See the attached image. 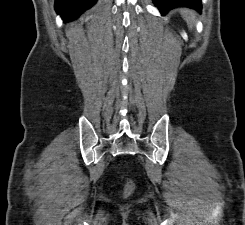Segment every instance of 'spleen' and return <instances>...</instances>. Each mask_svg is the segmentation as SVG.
Masks as SVG:
<instances>
[{"instance_id":"1","label":"spleen","mask_w":245,"mask_h":225,"mask_svg":"<svg viewBox=\"0 0 245 225\" xmlns=\"http://www.w3.org/2000/svg\"><path fill=\"white\" fill-rule=\"evenodd\" d=\"M181 14L184 20L187 22L189 28H192L195 22V13L191 10L183 9Z\"/></svg>"}]
</instances>
